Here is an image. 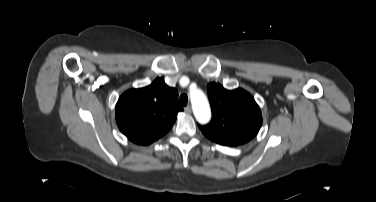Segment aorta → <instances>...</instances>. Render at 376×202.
<instances>
[{
  "label": "aorta",
  "instance_id": "aorta-1",
  "mask_svg": "<svg viewBox=\"0 0 376 202\" xmlns=\"http://www.w3.org/2000/svg\"><path fill=\"white\" fill-rule=\"evenodd\" d=\"M190 99L196 120L206 124L211 119V110L205 94L200 89L190 90Z\"/></svg>",
  "mask_w": 376,
  "mask_h": 202
}]
</instances>
